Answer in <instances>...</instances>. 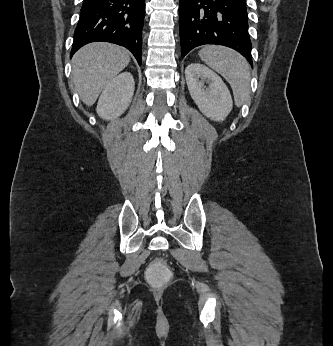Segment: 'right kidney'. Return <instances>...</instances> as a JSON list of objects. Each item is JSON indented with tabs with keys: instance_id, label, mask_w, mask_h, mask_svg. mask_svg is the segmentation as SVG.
Listing matches in <instances>:
<instances>
[{
	"instance_id": "ca27d5eb",
	"label": "right kidney",
	"mask_w": 333,
	"mask_h": 346,
	"mask_svg": "<svg viewBox=\"0 0 333 346\" xmlns=\"http://www.w3.org/2000/svg\"><path fill=\"white\" fill-rule=\"evenodd\" d=\"M134 89V78L130 72L116 76L104 88L97 104V114L106 120L119 117L130 105Z\"/></svg>"
}]
</instances>
